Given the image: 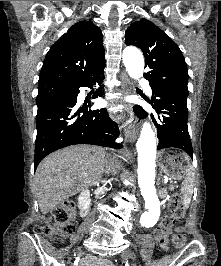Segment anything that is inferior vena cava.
Here are the masks:
<instances>
[{
    "label": "inferior vena cava",
    "mask_w": 221,
    "mask_h": 266,
    "mask_svg": "<svg viewBox=\"0 0 221 266\" xmlns=\"http://www.w3.org/2000/svg\"><path fill=\"white\" fill-rule=\"evenodd\" d=\"M120 168L119 162L110 156L106 158V165L105 170L109 173H113L114 175L117 174L118 170Z\"/></svg>",
    "instance_id": "1"
}]
</instances>
